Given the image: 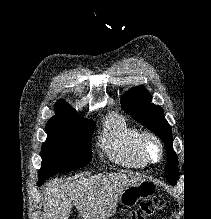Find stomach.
I'll use <instances>...</instances> for the list:
<instances>
[{
	"mask_svg": "<svg viewBox=\"0 0 211 219\" xmlns=\"http://www.w3.org/2000/svg\"><path fill=\"white\" fill-rule=\"evenodd\" d=\"M157 190L155 183L142 181L136 186H131L122 191L119 195V203L125 207H132L144 197L150 196Z\"/></svg>",
	"mask_w": 211,
	"mask_h": 219,
	"instance_id": "1",
	"label": "stomach"
}]
</instances>
